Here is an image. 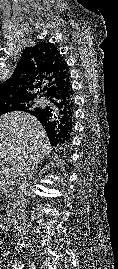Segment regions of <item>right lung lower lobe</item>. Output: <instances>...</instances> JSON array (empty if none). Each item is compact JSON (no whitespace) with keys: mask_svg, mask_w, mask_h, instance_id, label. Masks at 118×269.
<instances>
[{"mask_svg":"<svg viewBox=\"0 0 118 269\" xmlns=\"http://www.w3.org/2000/svg\"><path fill=\"white\" fill-rule=\"evenodd\" d=\"M70 92L72 93V87L69 88ZM73 101V99H72ZM73 116V114H72ZM72 131V118H71V125L69 127V129L66 132H59L56 137L54 138V140H50L49 141L52 143V145L54 146H60V147H64L65 145H67L70 141V133Z\"/></svg>","mask_w":118,"mask_h":269,"instance_id":"obj_1","label":"right lung lower lobe"}]
</instances>
